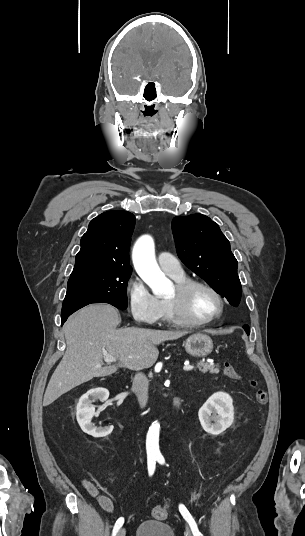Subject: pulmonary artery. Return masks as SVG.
Instances as JSON below:
<instances>
[{
  "instance_id": "pulmonary-artery-1",
  "label": "pulmonary artery",
  "mask_w": 305,
  "mask_h": 536,
  "mask_svg": "<svg viewBox=\"0 0 305 536\" xmlns=\"http://www.w3.org/2000/svg\"><path fill=\"white\" fill-rule=\"evenodd\" d=\"M157 261L161 269L168 275L173 277H181L184 275V270L178 260L167 252H161L157 256Z\"/></svg>"
}]
</instances>
